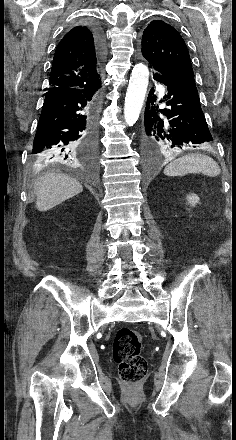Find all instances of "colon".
<instances>
[{"instance_id":"obj_1","label":"colon","mask_w":236,"mask_h":440,"mask_svg":"<svg viewBox=\"0 0 236 440\" xmlns=\"http://www.w3.org/2000/svg\"><path fill=\"white\" fill-rule=\"evenodd\" d=\"M142 337L135 329L124 327L117 331L113 343V356L119 366V375L126 384L144 380L148 365L141 355Z\"/></svg>"}]
</instances>
